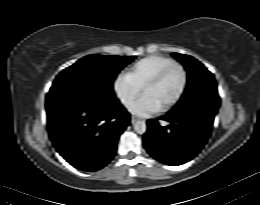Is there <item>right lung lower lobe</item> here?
Returning <instances> with one entry per match:
<instances>
[{
	"instance_id": "98d812e1",
	"label": "right lung lower lobe",
	"mask_w": 260,
	"mask_h": 205,
	"mask_svg": "<svg viewBox=\"0 0 260 205\" xmlns=\"http://www.w3.org/2000/svg\"><path fill=\"white\" fill-rule=\"evenodd\" d=\"M49 136L57 151L83 171L103 168L113 158L129 113L108 101L71 87L51 88L46 98Z\"/></svg>"
}]
</instances>
